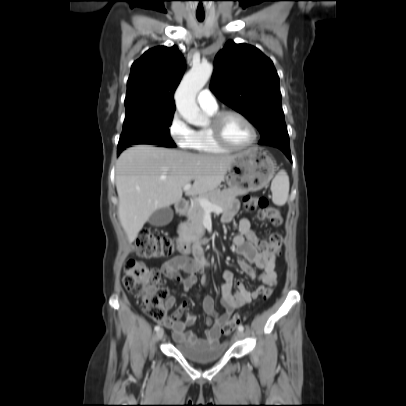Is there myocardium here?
I'll return each instance as SVG.
<instances>
[{"label": "myocardium", "mask_w": 406, "mask_h": 406, "mask_svg": "<svg viewBox=\"0 0 406 406\" xmlns=\"http://www.w3.org/2000/svg\"><path fill=\"white\" fill-rule=\"evenodd\" d=\"M228 115H234V116L238 117L249 127V129L251 130V133H252V137H251V140L249 141V143H247L246 145H243V146H234V145L229 144L225 140L223 131H222V124H223L225 117H227ZM208 128L211 132V135H212L214 141L222 148L231 150V151L246 150V149L252 147L256 143L257 138H258V133H257L256 127L251 122V120L246 115L241 113L240 111H237L234 109H226V110L218 111L216 114H214L211 117Z\"/></svg>", "instance_id": "myocardium-1"}]
</instances>
